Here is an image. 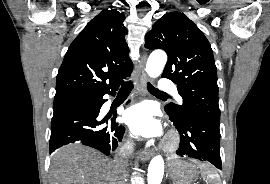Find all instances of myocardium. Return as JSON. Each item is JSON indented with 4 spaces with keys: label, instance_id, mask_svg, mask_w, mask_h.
Instances as JSON below:
<instances>
[{
    "label": "myocardium",
    "instance_id": "myocardium-1",
    "mask_svg": "<svg viewBox=\"0 0 270 184\" xmlns=\"http://www.w3.org/2000/svg\"><path fill=\"white\" fill-rule=\"evenodd\" d=\"M179 144L178 136L175 133H171L163 144V151L166 153L174 152Z\"/></svg>",
    "mask_w": 270,
    "mask_h": 184
}]
</instances>
